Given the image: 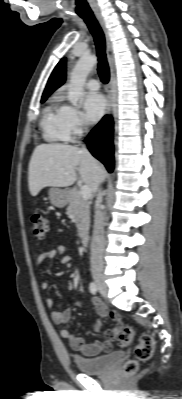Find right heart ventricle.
Wrapping results in <instances>:
<instances>
[{"mask_svg":"<svg viewBox=\"0 0 182 399\" xmlns=\"http://www.w3.org/2000/svg\"><path fill=\"white\" fill-rule=\"evenodd\" d=\"M41 127L47 141H68L71 135L66 124V105L59 102L48 105L43 111Z\"/></svg>","mask_w":182,"mask_h":399,"instance_id":"1","label":"right heart ventricle"}]
</instances>
